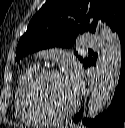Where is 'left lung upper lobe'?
Returning <instances> with one entry per match:
<instances>
[{
	"label": "left lung upper lobe",
	"instance_id": "left-lung-upper-lobe-1",
	"mask_svg": "<svg viewBox=\"0 0 125 128\" xmlns=\"http://www.w3.org/2000/svg\"><path fill=\"white\" fill-rule=\"evenodd\" d=\"M99 19L116 32L125 23V0L47 1L20 38L15 61L41 49L71 47L78 33L95 32ZM75 54L78 56L77 52ZM79 60L85 68L94 61L91 57H79Z\"/></svg>",
	"mask_w": 125,
	"mask_h": 128
}]
</instances>
